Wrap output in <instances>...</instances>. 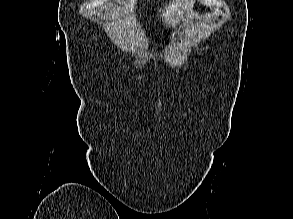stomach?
I'll return each instance as SVG.
<instances>
[{"label":"stomach","mask_w":293,"mask_h":219,"mask_svg":"<svg viewBox=\"0 0 293 219\" xmlns=\"http://www.w3.org/2000/svg\"><path fill=\"white\" fill-rule=\"evenodd\" d=\"M180 26L175 28V31L172 33L171 40H175L177 34H179Z\"/></svg>","instance_id":"1"}]
</instances>
